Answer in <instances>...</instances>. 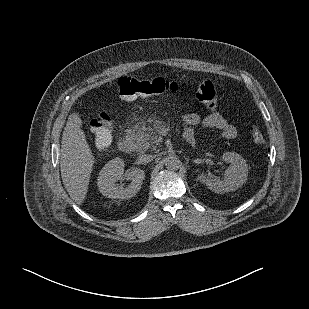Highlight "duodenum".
Returning a JSON list of instances; mask_svg holds the SVG:
<instances>
[{
    "label": "duodenum",
    "mask_w": 309,
    "mask_h": 309,
    "mask_svg": "<svg viewBox=\"0 0 309 309\" xmlns=\"http://www.w3.org/2000/svg\"><path fill=\"white\" fill-rule=\"evenodd\" d=\"M190 143L191 140L187 139ZM118 149L123 153H130L133 150V142L131 139L120 138L118 141Z\"/></svg>",
    "instance_id": "410a0bca"
}]
</instances>
